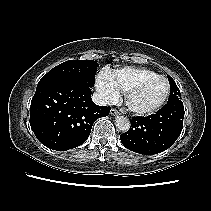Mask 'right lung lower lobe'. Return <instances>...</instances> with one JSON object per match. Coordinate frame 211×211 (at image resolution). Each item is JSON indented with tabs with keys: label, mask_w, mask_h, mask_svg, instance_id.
Segmentation results:
<instances>
[{
	"label": "right lung lower lobe",
	"mask_w": 211,
	"mask_h": 211,
	"mask_svg": "<svg viewBox=\"0 0 211 211\" xmlns=\"http://www.w3.org/2000/svg\"><path fill=\"white\" fill-rule=\"evenodd\" d=\"M111 108L91 99V87L80 81H61L36 89L31 101L30 125L46 147L65 151L82 145L94 121Z\"/></svg>",
	"instance_id": "obj_1"
}]
</instances>
